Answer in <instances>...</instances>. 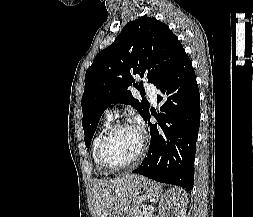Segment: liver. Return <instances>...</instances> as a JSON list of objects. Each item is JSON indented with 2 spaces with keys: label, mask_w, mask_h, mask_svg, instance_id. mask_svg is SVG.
<instances>
[{
  "label": "liver",
  "mask_w": 253,
  "mask_h": 217,
  "mask_svg": "<svg viewBox=\"0 0 253 217\" xmlns=\"http://www.w3.org/2000/svg\"><path fill=\"white\" fill-rule=\"evenodd\" d=\"M144 179L131 174L95 182L92 191L95 217H121L132 202L136 185Z\"/></svg>",
  "instance_id": "6515ba94"
}]
</instances>
